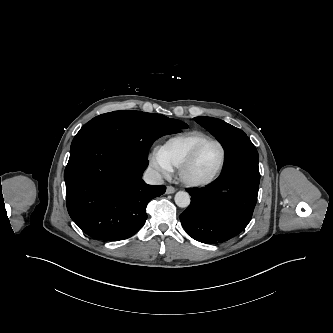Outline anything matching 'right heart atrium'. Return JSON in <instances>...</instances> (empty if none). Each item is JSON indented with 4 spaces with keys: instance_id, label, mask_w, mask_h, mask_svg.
Wrapping results in <instances>:
<instances>
[{
    "instance_id": "d8ad5b80",
    "label": "right heart atrium",
    "mask_w": 333,
    "mask_h": 333,
    "mask_svg": "<svg viewBox=\"0 0 333 333\" xmlns=\"http://www.w3.org/2000/svg\"><path fill=\"white\" fill-rule=\"evenodd\" d=\"M149 164L162 177H169L173 172V167L163 158L159 149L151 151Z\"/></svg>"
}]
</instances>
